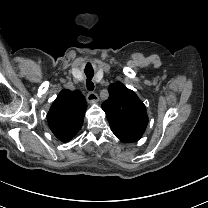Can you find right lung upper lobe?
Here are the masks:
<instances>
[{"label":"right lung upper lobe","instance_id":"cb5924a9","mask_svg":"<svg viewBox=\"0 0 208 208\" xmlns=\"http://www.w3.org/2000/svg\"><path fill=\"white\" fill-rule=\"evenodd\" d=\"M87 103L80 91L62 90L47 114L49 127L62 142H68L80 130Z\"/></svg>","mask_w":208,"mask_h":208}]
</instances>
